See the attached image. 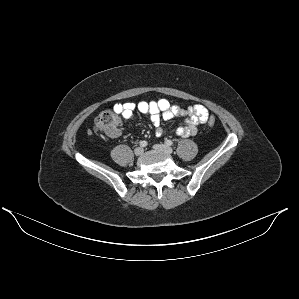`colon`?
Instances as JSON below:
<instances>
[{
    "label": "colon",
    "mask_w": 299,
    "mask_h": 299,
    "mask_svg": "<svg viewBox=\"0 0 299 299\" xmlns=\"http://www.w3.org/2000/svg\"><path fill=\"white\" fill-rule=\"evenodd\" d=\"M207 123L213 127L216 120L213 116H208ZM119 118L114 110H105L101 112L94 122V131L97 133H115L118 130Z\"/></svg>",
    "instance_id": "colon-1"
}]
</instances>
